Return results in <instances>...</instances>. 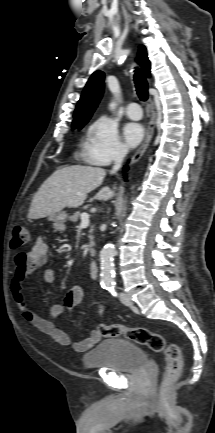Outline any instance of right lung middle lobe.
Returning <instances> with one entry per match:
<instances>
[{"instance_id": "obj_1", "label": "right lung middle lobe", "mask_w": 215, "mask_h": 433, "mask_svg": "<svg viewBox=\"0 0 215 433\" xmlns=\"http://www.w3.org/2000/svg\"><path fill=\"white\" fill-rule=\"evenodd\" d=\"M86 123H87V121L73 123V124H72V128H73V129H76V128H82Z\"/></svg>"}]
</instances>
